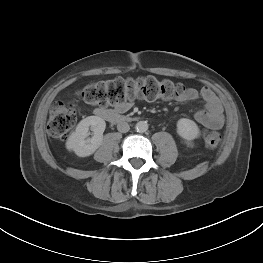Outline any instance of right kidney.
<instances>
[{
    "label": "right kidney",
    "instance_id": "right-kidney-1",
    "mask_svg": "<svg viewBox=\"0 0 263 263\" xmlns=\"http://www.w3.org/2000/svg\"><path fill=\"white\" fill-rule=\"evenodd\" d=\"M106 128L105 121L98 116H88L81 120L76 130L69 136L66 147L80 157L93 154L102 144L103 132ZM89 129L93 131V136H89Z\"/></svg>",
    "mask_w": 263,
    "mask_h": 263
}]
</instances>
